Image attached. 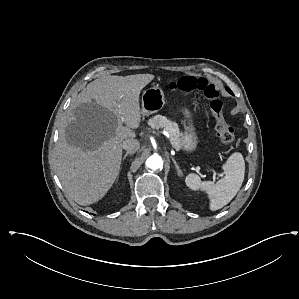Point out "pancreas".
Returning a JSON list of instances; mask_svg holds the SVG:
<instances>
[{
  "label": "pancreas",
  "instance_id": "cf45deb5",
  "mask_svg": "<svg viewBox=\"0 0 299 299\" xmlns=\"http://www.w3.org/2000/svg\"><path fill=\"white\" fill-rule=\"evenodd\" d=\"M148 124L152 129H160L163 128L169 133L170 142L172 146L176 149L181 148V136L179 126L176 122H173L167 119L165 116L156 115L148 121Z\"/></svg>",
  "mask_w": 299,
  "mask_h": 299
}]
</instances>
